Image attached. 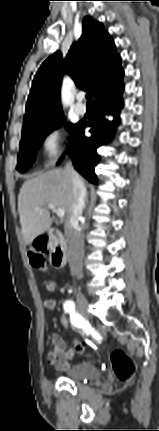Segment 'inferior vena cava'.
I'll return each instance as SVG.
<instances>
[{
	"label": "inferior vena cava",
	"mask_w": 159,
	"mask_h": 431,
	"mask_svg": "<svg viewBox=\"0 0 159 431\" xmlns=\"http://www.w3.org/2000/svg\"><path fill=\"white\" fill-rule=\"evenodd\" d=\"M65 171L70 173L73 184V204L71 206V215L65 222V235L69 242L73 260L71 270L80 279L82 278L80 261L83 257L84 249L79 231V218L85 206L86 188L79 174L73 169L71 162L65 165Z\"/></svg>",
	"instance_id": "602c4592"
}]
</instances>
